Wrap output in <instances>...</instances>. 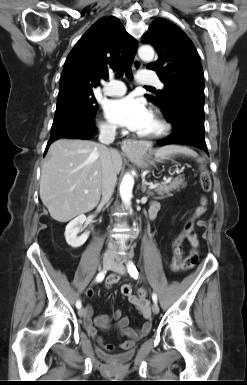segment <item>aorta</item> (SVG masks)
Here are the masks:
<instances>
[{"label":"aorta","instance_id":"762f6f07","mask_svg":"<svg viewBox=\"0 0 247 385\" xmlns=\"http://www.w3.org/2000/svg\"><path fill=\"white\" fill-rule=\"evenodd\" d=\"M139 57L146 62L152 61L154 58V49L150 45H143L138 50ZM134 186V178L131 174H126L120 184V196L122 202L127 207L131 205L132 189Z\"/></svg>","mask_w":247,"mask_h":385}]
</instances>
